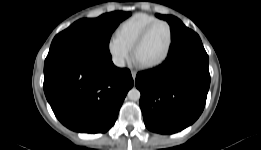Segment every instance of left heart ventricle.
Returning a JSON list of instances; mask_svg holds the SVG:
<instances>
[{
    "label": "left heart ventricle",
    "instance_id": "obj_1",
    "mask_svg": "<svg viewBox=\"0 0 261 150\" xmlns=\"http://www.w3.org/2000/svg\"><path fill=\"white\" fill-rule=\"evenodd\" d=\"M169 32L165 25L155 26L136 54V60L141 64H149L161 59L167 51Z\"/></svg>",
    "mask_w": 261,
    "mask_h": 150
}]
</instances>
